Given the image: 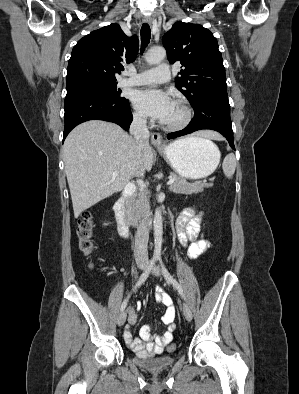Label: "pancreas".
<instances>
[{
	"label": "pancreas",
	"instance_id": "cf45deb5",
	"mask_svg": "<svg viewBox=\"0 0 299 394\" xmlns=\"http://www.w3.org/2000/svg\"><path fill=\"white\" fill-rule=\"evenodd\" d=\"M170 178L175 179L174 183L170 186V190L176 194L191 195L197 194L204 190V188L212 187V184L207 183H187L184 179L177 177L174 173H170ZM148 193L141 192L138 199H134L129 208L128 212L134 218L139 217L142 210V206L148 204Z\"/></svg>",
	"mask_w": 299,
	"mask_h": 394
}]
</instances>
